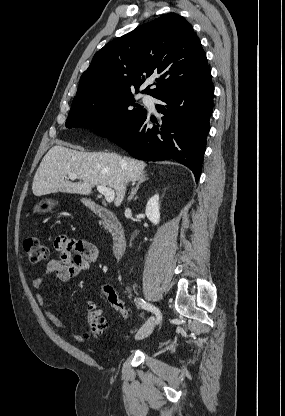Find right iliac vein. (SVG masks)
Returning <instances> with one entry per match:
<instances>
[{"instance_id":"right-iliac-vein-1","label":"right iliac vein","mask_w":285,"mask_h":416,"mask_svg":"<svg viewBox=\"0 0 285 416\" xmlns=\"http://www.w3.org/2000/svg\"><path fill=\"white\" fill-rule=\"evenodd\" d=\"M154 329V319H149L136 334V339H143L149 336Z\"/></svg>"}]
</instances>
